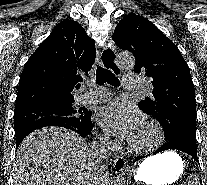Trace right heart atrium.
I'll return each mask as SVG.
<instances>
[{
  "label": "right heart atrium",
  "mask_w": 207,
  "mask_h": 185,
  "mask_svg": "<svg viewBox=\"0 0 207 185\" xmlns=\"http://www.w3.org/2000/svg\"><path fill=\"white\" fill-rule=\"evenodd\" d=\"M102 139L105 141V142H109L111 140V138L107 135V134H104L102 136Z\"/></svg>",
  "instance_id": "obj_1"
}]
</instances>
